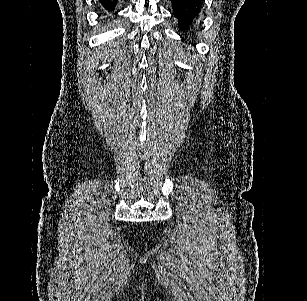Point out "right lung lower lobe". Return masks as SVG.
Instances as JSON below:
<instances>
[{"instance_id": "obj_1", "label": "right lung lower lobe", "mask_w": 307, "mask_h": 301, "mask_svg": "<svg viewBox=\"0 0 307 301\" xmlns=\"http://www.w3.org/2000/svg\"><path fill=\"white\" fill-rule=\"evenodd\" d=\"M101 6L108 12H113L116 3H112V0H100Z\"/></svg>"}]
</instances>
